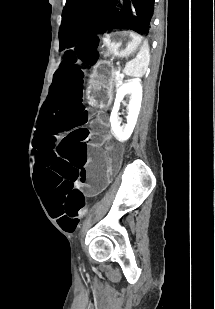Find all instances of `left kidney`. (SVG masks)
Segmentation results:
<instances>
[{
    "label": "left kidney",
    "mask_w": 215,
    "mask_h": 309,
    "mask_svg": "<svg viewBox=\"0 0 215 309\" xmlns=\"http://www.w3.org/2000/svg\"><path fill=\"white\" fill-rule=\"evenodd\" d=\"M125 94H131L128 104L127 124L120 126L121 120L118 118V110L120 108V102L123 100ZM142 100V86L139 78H132L130 82H125L117 90L114 106L110 114V122L112 130L118 138V140H128L131 136L136 120L138 118L140 106Z\"/></svg>",
    "instance_id": "obj_1"
}]
</instances>
